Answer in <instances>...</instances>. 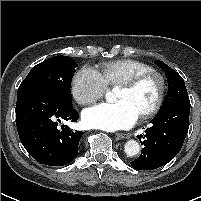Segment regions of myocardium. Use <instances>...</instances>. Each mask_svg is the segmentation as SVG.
Returning <instances> with one entry per match:
<instances>
[{
  "label": "myocardium",
  "mask_w": 201,
  "mask_h": 201,
  "mask_svg": "<svg viewBox=\"0 0 201 201\" xmlns=\"http://www.w3.org/2000/svg\"><path fill=\"white\" fill-rule=\"evenodd\" d=\"M148 78H155L157 80L158 93H157V97H156L154 104L147 111H145L143 114H141L139 116V118L141 120H145V119L153 117L162 107L164 97H165V92H166L165 77L163 76V74H161L158 71L150 70L147 72H142V73L136 74V75L122 81L118 85V87L132 89Z\"/></svg>",
  "instance_id": "1"
}]
</instances>
